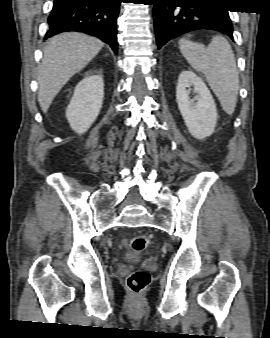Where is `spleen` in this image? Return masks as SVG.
Here are the masks:
<instances>
[{
	"label": "spleen",
	"instance_id": "spleen-1",
	"mask_svg": "<svg viewBox=\"0 0 270 338\" xmlns=\"http://www.w3.org/2000/svg\"><path fill=\"white\" fill-rule=\"evenodd\" d=\"M190 36L179 41L182 55L191 67L206 77L223 110L232 115L237 102L239 75L231 45L220 35L213 36L208 46L190 41Z\"/></svg>",
	"mask_w": 270,
	"mask_h": 338
}]
</instances>
